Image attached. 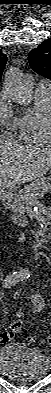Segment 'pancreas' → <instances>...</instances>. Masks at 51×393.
Wrapping results in <instances>:
<instances>
[{
    "mask_svg": "<svg viewBox=\"0 0 51 393\" xmlns=\"http://www.w3.org/2000/svg\"><path fill=\"white\" fill-rule=\"evenodd\" d=\"M51 189V180L43 177L32 181L29 185L24 186L8 201L9 207L14 211L11 217L13 223L18 226H27L25 216V205L28 203L32 196L37 195L39 192H46Z\"/></svg>",
    "mask_w": 51,
    "mask_h": 393,
    "instance_id": "1",
    "label": "pancreas"
}]
</instances>
